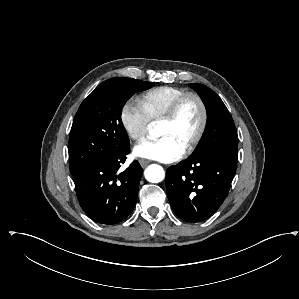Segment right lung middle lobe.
<instances>
[{
  "mask_svg": "<svg viewBox=\"0 0 299 299\" xmlns=\"http://www.w3.org/2000/svg\"><path fill=\"white\" fill-rule=\"evenodd\" d=\"M151 86L147 81L112 78L101 83L82 102L69 137L72 175L130 146L121 122L122 108L136 91H144Z\"/></svg>",
  "mask_w": 299,
  "mask_h": 299,
  "instance_id": "obj_1",
  "label": "right lung middle lobe"
}]
</instances>
